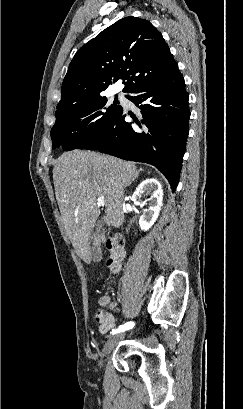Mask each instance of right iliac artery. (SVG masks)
Segmentation results:
<instances>
[{
    "label": "right iliac artery",
    "mask_w": 243,
    "mask_h": 409,
    "mask_svg": "<svg viewBox=\"0 0 243 409\" xmlns=\"http://www.w3.org/2000/svg\"><path fill=\"white\" fill-rule=\"evenodd\" d=\"M134 325H135L134 322H127L124 325L119 326V328L113 329L112 334H116V333H120V332H124L126 330H129V329L133 328Z\"/></svg>",
    "instance_id": "1"
}]
</instances>
